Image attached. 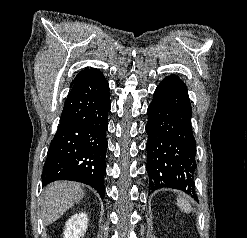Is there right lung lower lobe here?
Listing matches in <instances>:
<instances>
[{
	"instance_id": "right-lung-lower-lobe-1",
	"label": "right lung lower lobe",
	"mask_w": 247,
	"mask_h": 238,
	"mask_svg": "<svg viewBox=\"0 0 247 238\" xmlns=\"http://www.w3.org/2000/svg\"><path fill=\"white\" fill-rule=\"evenodd\" d=\"M109 84L92 69L71 86L43 168L42 183L71 180L93 187L104 199Z\"/></svg>"
}]
</instances>
